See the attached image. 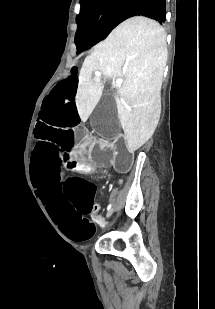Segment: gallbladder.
Instances as JSON below:
<instances>
[{
    "mask_svg": "<svg viewBox=\"0 0 215 309\" xmlns=\"http://www.w3.org/2000/svg\"><path fill=\"white\" fill-rule=\"evenodd\" d=\"M91 114L92 125L98 136H116L118 128L117 106L114 96L103 94L99 103H96Z\"/></svg>",
    "mask_w": 215,
    "mask_h": 309,
    "instance_id": "bac80fb5",
    "label": "gallbladder"
}]
</instances>
